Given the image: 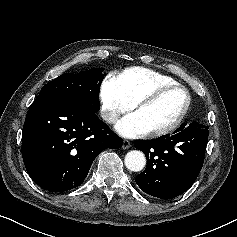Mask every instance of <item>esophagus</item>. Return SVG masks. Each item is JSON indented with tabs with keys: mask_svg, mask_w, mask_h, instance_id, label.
Instances as JSON below:
<instances>
[{
	"mask_svg": "<svg viewBox=\"0 0 237 237\" xmlns=\"http://www.w3.org/2000/svg\"><path fill=\"white\" fill-rule=\"evenodd\" d=\"M131 147V142L129 140H124L122 144L123 149H128Z\"/></svg>",
	"mask_w": 237,
	"mask_h": 237,
	"instance_id": "obj_1",
	"label": "esophagus"
}]
</instances>
